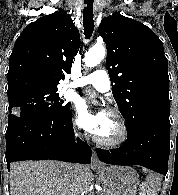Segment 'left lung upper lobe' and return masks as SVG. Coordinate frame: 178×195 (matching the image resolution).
Returning <instances> with one entry per match:
<instances>
[{
	"label": "left lung upper lobe",
	"instance_id": "1",
	"mask_svg": "<svg viewBox=\"0 0 178 195\" xmlns=\"http://www.w3.org/2000/svg\"><path fill=\"white\" fill-rule=\"evenodd\" d=\"M98 32L106 43L112 93L127 132L144 123L170 125L168 60L159 37L118 12L104 18Z\"/></svg>",
	"mask_w": 178,
	"mask_h": 195
}]
</instances>
